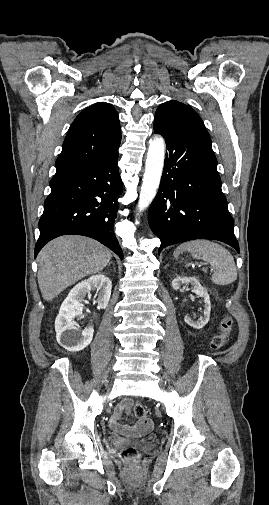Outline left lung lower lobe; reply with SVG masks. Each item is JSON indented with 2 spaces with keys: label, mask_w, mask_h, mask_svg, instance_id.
I'll return each mask as SVG.
<instances>
[{
  "label": "left lung lower lobe",
  "mask_w": 269,
  "mask_h": 505,
  "mask_svg": "<svg viewBox=\"0 0 269 505\" xmlns=\"http://www.w3.org/2000/svg\"><path fill=\"white\" fill-rule=\"evenodd\" d=\"M154 132L164 136L168 149L148 214L150 228L161 240L159 253L193 239L219 240L239 252L207 130L155 118Z\"/></svg>",
  "instance_id": "1"
}]
</instances>
